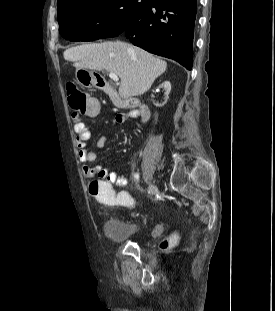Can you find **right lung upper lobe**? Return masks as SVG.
<instances>
[{"mask_svg": "<svg viewBox=\"0 0 275 311\" xmlns=\"http://www.w3.org/2000/svg\"><path fill=\"white\" fill-rule=\"evenodd\" d=\"M67 1H71V0H58L57 2V6L64 3V2H67Z\"/></svg>", "mask_w": 275, "mask_h": 311, "instance_id": "right-lung-upper-lobe-1", "label": "right lung upper lobe"}]
</instances>
